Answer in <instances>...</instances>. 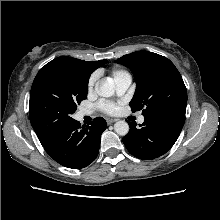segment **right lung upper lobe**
Returning a JSON list of instances; mask_svg holds the SVG:
<instances>
[{
  "label": "right lung upper lobe",
  "mask_w": 220,
  "mask_h": 220,
  "mask_svg": "<svg viewBox=\"0 0 220 220\" xmlns=\"http://www.w3.org/2000/svg\"><path fill=\"white\" fill-rule=\"evenodd\" d=\"M107 60L100 61H84L72 57H58L49 63H47L43 68H64L79 72L83 75L90 77V74L97 68L101 67L106 63ZM46 139H39L43 142Z\"/></svg>",
  "instance_id": "obj_1"
}]
</instances>
